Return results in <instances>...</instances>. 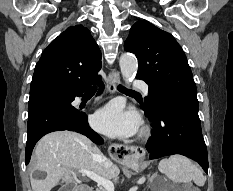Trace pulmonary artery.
Returning a JSON list of instances; mask_svg holds the SVG:
<instances>
[{
	"instance_id": "e3ab8cb5",
	"label": "pulmonary artery",
	"mask_w": 233,
	"mask_h": 191,
	"mask_svg": "<svg viewBox=\"0 0 233 191\" xmlns=\"http://www.w3.org/2000/svg\"><path fill=\"white\" fill-rule=\"evenodd\" d=\"M133 86H134V87H137V88H139V89H141L145 94L148 93L149 87H148V85H147L145 82H143V81L135 80V81H133Z\"/></svg>"
}]
</instances>
